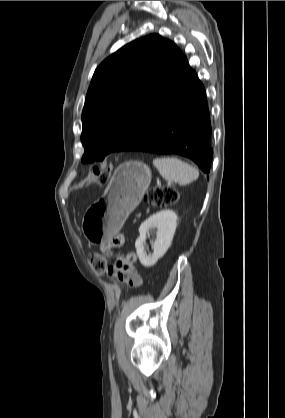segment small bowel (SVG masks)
Wrapping results in <instances>:
<instances>
[{"label":"small bowel","mask_w":285,"mask_h":418,"mask_svg":"<svg viewBox=\"0 0 285 418\" xmlns=\"http://www.w3.org/2000/svg\"><path fill=\"white\" fill-rule=\"evenodd\" d=\"M122 243V237L116 236L110 241V245L113 247L119 246ZM131 256L134 257V261H131ZM136 261V255L131 253L118 260L117 264L108 268L107 273L131 287H139L142 284V278L140 274L132 267V264Z\"/></svg>","instance_id":"c3829d8e"}]
</instances>
